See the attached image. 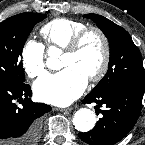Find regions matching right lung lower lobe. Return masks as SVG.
I'll use <instances>...</instances> for the list:
<instances>
[{
  "label": "right lung lower lobe",
  "instance_id": "98d812e1",
  "mask_svg": "<svg viewBox=\"0 0 145 145\" xmlns=\"http://www.w3.org/2000/svg\"><path fill=\"white\" fill-rule=\"evenodd\" d=\"M31 93L28 84L0 82V145H36L39 140V117L51 107L32 102Z\"/></svg>",
  "mask_w": 145,
  "mask_h": 145
}]
</instances>
